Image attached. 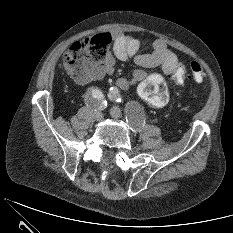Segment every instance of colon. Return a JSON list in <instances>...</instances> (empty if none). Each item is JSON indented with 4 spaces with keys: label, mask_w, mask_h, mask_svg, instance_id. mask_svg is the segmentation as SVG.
Instances as JSON below:
<instances>
[{
    "label": "colon",
    "mask_w": 233,
    "mask_h": 233,
    "mask_svg": "<svg viewBox=\"0 0 233 233\" xmlns=\"http://www.w3.org/2000/svg\"><path fill=\"white\" fill-rule=\"evenodd\" d=\"M110 42L109 34H98L73 43L63 57L65 70L79 81L100 75ZM170 77L177 84H182L187 78L201 83L205 78V72L199 62L193 61L190 64V72H187L185 66L179 63ZM139 95L154 108L164 107L169 98L166 84L158 74H152L141 82Z\"/></svg>",
    "instance_id": "obj_1"
}]
</instances>
